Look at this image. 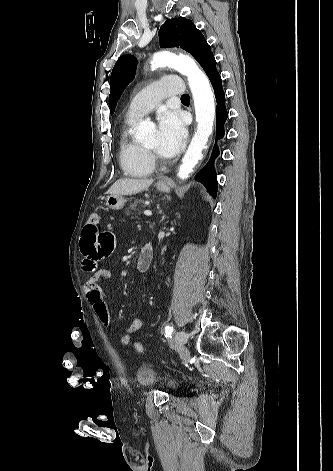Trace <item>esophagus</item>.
Wrapping results in <instances>:
<instances>
[{"label":"esophagus","instance_id":"esophagus-1","mask_svg":"<svg viewBox=\"0 0 333 471\" xmlns=\"http://www.w3.org/2000/svg\"><path fill=\"white\" fill-rule=\"evenodd\" d=\"M161 181H162V182H166V181H167V179H166V178H163Z\"/></svg>","mask_w":333,"mask_h":471}]
</instances>
